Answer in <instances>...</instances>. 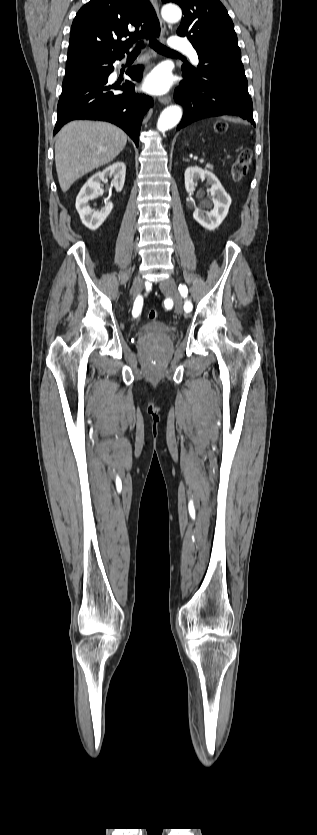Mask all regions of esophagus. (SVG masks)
Here are the masks:
<instances>
[{"label":"esophagus","mask_w":317,"mask_h":835,"mask_svg":"<svg viewBox=\"0 0 317 835\" xmlns=\"http://www.w3.org/2000/svg\"><path fill=\"white\" fill-rule=\"evenodd\" d=\"M150 1L153 5V8L155 10V13H156L158 19H159L161 33L163 34L166 31V25H165V22L161 19L160 14H159L158 0H150ZM171 100H172V98H171L170 95L162 96L159 99L160 103H162V104H169L171 102Z\"/></svg>","instance_id":"34e87169"}]
</instances>
